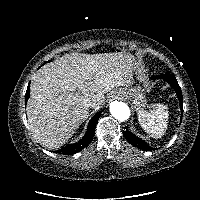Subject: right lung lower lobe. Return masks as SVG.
<instances>
[{
	"label": "right lung lower lobe",
	"mask_w": 200,
	"mask_h": 200,
	"mask_svg": "<svg viewBox=\"0 0 200 200\" xmlns=\"http://www.w3.org/2000/svg\"><path fill=\"white\" fill-rule=\"evenodd\" d=\"M29 87H30V84L28 85L27 90H26V96H25V101L26 102H27V100H28V98L30 96ZM100 113L101 112H99L96 115H94L93 118L90 120L89 125H88V129L86 131V134L84 135V137L79 142H77L75 144L67 145V146L57 150L56 153L69 155V154H73V153L79 152L83 148H85L90 143V141L92 140V138L94 136L95 126H96V123H97V121L99 119Z\"/></svg>",
	"instance_id": "obj_1"
}]
</instances>
